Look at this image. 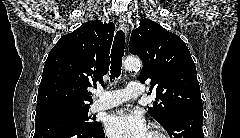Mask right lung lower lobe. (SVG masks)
Here are the masks:
<instances>
[{"label": "right lung lower lobe", "mask_w": 240, "mask_h": 138, "mask_svg": "<svg viewBox=\"0 0 240 138\" xmlns=\"http://www.w3.org/2000/svg\"><path fill=\"white\" fill-rule=\"evenodd\" d=\"M33 138H105V134L101 124L85 129L72 121L57 119L35 125Z\"/></svg>", "instance_id": "98d812e1"}]
</instances>
